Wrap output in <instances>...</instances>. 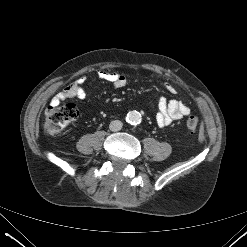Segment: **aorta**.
I'll return each mask as SVG.
<instances>
[{"label": "aorta", "instance_id": "1", "mask_svg": "<svg viewBox=\"0 0 247 247\" xmlns=\"http://www.w3.org/2000/svg\"><path fill=\"white\" fill-rule=\"evenodd\" d=\"M141 114L136 111H129L126 115V121L131 125H137L141 122Z\"/></svg>", "mask_w": 247, "mask_h": 247}]
</instances>
